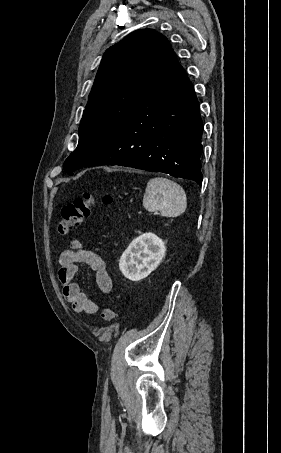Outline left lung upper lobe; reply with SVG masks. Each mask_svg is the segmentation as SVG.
Segmentation results:
<instances>
[{"label": "left lung upper lobe", "instance_id": "1", "mask_svg": "<svg viewBox=\"0 0 281 453\" xmlns=\"http://www.w3.org/2000/svg\"><path fill=\"white\" fill-rule=\"evenodd\" d=\"M172 49L153 29L132 32L104 54L79 127L77 148L63 164L80 169L95 159L140 103Z\"/></svg>", "mask_w": 281, "mask_h": 453}]
</instances>
